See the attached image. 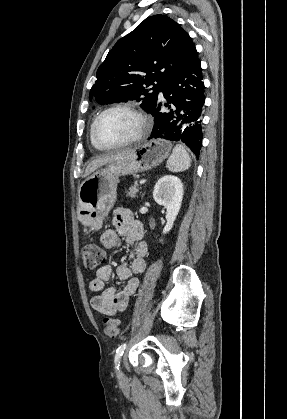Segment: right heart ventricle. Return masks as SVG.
Returning <instances> with one entry per match:
<instances>
[{
	"instance_id": "right-heart-ventricle-1",
	"label": "right heart ventricle",
	"mask_w": 287,
	"mask_h": 419,
	"mask_svg": "<svg viewBox=\"0 0 287 419\" xmlns=\"http://www.w3.org/2000/svg\"><path fill=\"white\" fill-rule=\"evenodd\" d=\"M89 137H90V142H91V144H92V146L94 147V148H96V149H98V150H106L105 148H103V147H101V146H99L94 140H93V138H92V135H91V128H90V132H89Z\"/></svg>"
}]
</instances>
